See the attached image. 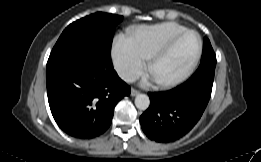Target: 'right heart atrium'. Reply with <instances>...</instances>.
Masks as SVG:
<instances>
[{
    "label": "right heart atrium",
    "mask_w": 261,
    "mask_h": 162,
    "mask_svg": "<svg viewBox=\"0 0 261 162\" xmlns=\"http://www.w3.org/2000/svg\"><path fill=\"white\" fill-rule=\"evenodd\" d=\"M112 60L117 73L125 81L136 79L144 71V59L134 50L128 37L116 38Z\"/></svg>",
    "instance_id": "d8ad5b80"
}]
</instances>
